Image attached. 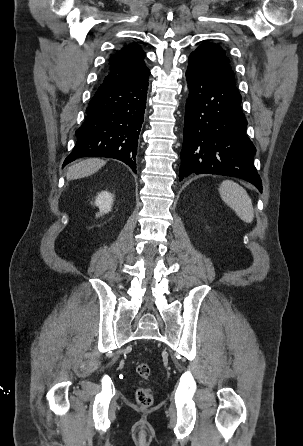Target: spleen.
<instances>
[{
  "label": "spleen",
  "mask_w": 303,
  "mask_h": 446,
  "mask_svg": "<svg viewBox=\"0 0 303 446\" xmlns=\"http://www.w3.org/2000/svg\"><path fill=\"white\" fill-rule=\"evenodd\" d=\"M222 200L232 208L237 216L246 223L254 219V210L251 198L247 191L232 180H225L219 188Z\"/></svg>",
  "instance_id": "obj_1"
}]
</instances>
